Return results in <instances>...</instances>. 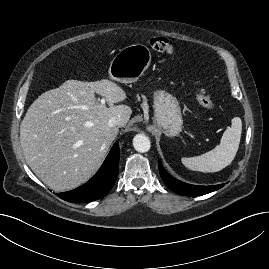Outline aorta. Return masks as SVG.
I'll return each mask as SVG.
<instances>
[{"instance_id": "1", "label": "aorta", "mask_w": 269, "mask_h": 269, "mask_svg": "<svg viewBox=\"0 0 269 269\" xmlns=\"http://www.w3.org/2000/svg\"><path fill=\"white\" fill-rule=\"evenodd\" d=\"M133 147L136 151L144 153L150 150L151 144L149 138L144 134H137L133 138Z\"/></svg>"}]
</instances>
